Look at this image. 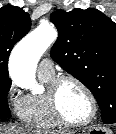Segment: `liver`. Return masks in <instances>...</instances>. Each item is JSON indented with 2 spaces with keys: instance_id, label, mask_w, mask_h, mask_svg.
<instances>
[{
  "instance_id": "obj_1",
  "label": "liver",
  "mask_w": 116,
  "mask_h": 134,
  "mask_svg": "<svg viewBox=\"0 0 116 134\" xmlns=\"http://www.w3.org/2000/svg\"><path fill=\"white\" fill-rule=\"evenodd\" d=\"M0 134H38L35 133L32 129L16 127V126H1L0 125Z\"/></svg>"
}]
</instances>
